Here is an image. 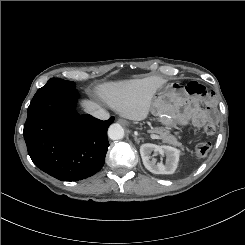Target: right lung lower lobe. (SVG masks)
<instances>
[{
  "mask_svg": "<svg viewBox=\"0 0 245 245\" xmlns=\"http://www.w3.org/2000/svg\"><path fill=\"white\" fill-rule=\"evenodd\" d=\"M78 92L70 83L40 88L28 107L23 135L28 154L42 171L61 181H78L98 172L109 147L102 121L75 110Z\"/></svg>",
  "mask_w": 245,
  "mask_h": 245,
  "instance_id": "1",
  "label": "right lung lower lobe"
}]
</instances>
